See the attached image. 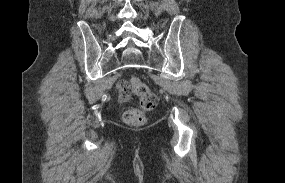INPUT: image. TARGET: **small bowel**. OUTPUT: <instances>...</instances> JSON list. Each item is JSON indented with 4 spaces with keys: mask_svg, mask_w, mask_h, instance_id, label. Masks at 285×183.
<instances>
[{
    "mask_svg": "<svg viewBox=\"0 0 285 183\" xmlns=\"http://www.w3.org/2000/svg\"><path fill=\"white\" fill-rule=\"evenodd\" d=\"M116 90L118 92L119 101L121 103L126 102L130 97V87L129 84L124 81H118L116 83Z\"/></svg>",
    "mask_w": 285,
    "mask_h": 183,
    "instance_id": "small-bowel-1",
    "label": "small bowel"
}]
</instances>
